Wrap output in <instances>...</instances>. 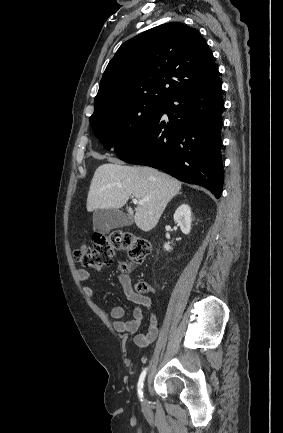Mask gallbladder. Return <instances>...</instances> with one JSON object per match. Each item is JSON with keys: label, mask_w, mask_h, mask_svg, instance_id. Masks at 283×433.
<instances>
[{"label": "gallbladder", "mask_w": 283, "mask_h": 433, "mask_svg": "<svg viewBox=\"0 0 283 433\" xmlns=\"http://www.w3.org/2000/svg\"><path fill=\"white\" fill-rule=\"evenodd\" d=\"M133 219L117 208H96L93 212V229L96 233H110L111 229L129 227Z\"/></svg>", "instance_id": "1"}]
</instances>
